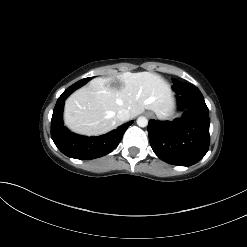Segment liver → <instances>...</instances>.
<instances>
[{"label": "liver", "instance_id": "liver-1", "mask_svg": "<svg viewBox=\"0 0 247 247\" xmlns=\"http://www.w3.org/2000/svg\"><path fill=\"white\" fill-rule=\"evenodd\" d=\"M173 107L170 86L162 77L150 72H125L115 77L94 78L75 91L66 100L64 122L76 133L96 136L121 125L117 118L121 109H127L130 118L147 109L165 119Z\"/></svg>", "mask_w": 247, "mask_h": 247}]
</instances>
